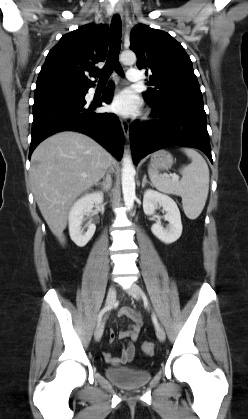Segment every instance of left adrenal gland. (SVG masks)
<instances>
[{
  "mask_svg": "<svg viewBox=\"0 0 248 419\" xmlns=\"http://www.w3.org/2000/svg\"><path fill=\"white\" fill-rule=\"evenodd\" d=\"M147 183H149V182L146 179V175H144L143 181H142V188H144Z\"/></svg>",
  "mask_w": 248,
  "mask_h": 419,
  "instance_id": "left-adrenal-gland-1",
  "label": "left adrenal gland"
}]
</instances>
